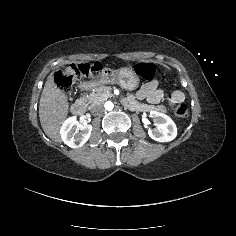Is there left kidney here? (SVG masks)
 Returning a JSON list of instances; mask_svg holds the SVG:
<instances>
[{"label":"left kidney","instance_id":"left-kidney-1","mask_svg":"<svg viewBox=\"0 0 236 236\" xmlns=\"http://www.w3.org/2000/svg\"><path fill=\"white\" fill-rule=\"evenodd\" d=\"M150 117L156 126V129L148 130L150 138L158 142H169L177 136V127L169 116L152 110Z\"/></svg>","mask_w":236,"mask_h":236}]
</instances>
